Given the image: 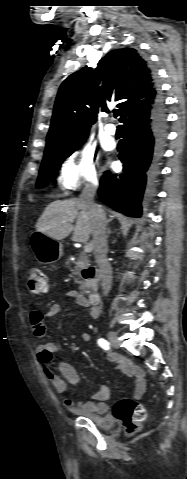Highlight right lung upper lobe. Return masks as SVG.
<instances>
[{
	"label": "right lung upper lobe",
	"mask_w": 187,
	"mask_h": 479,
	"mask_svg": "<svg viewBox=\"0 0 187 479\" xmlns=\"http://www.w3.org/2000/svg\"><path fill=\"white\" fill-rule=\"evenodd\" d=\"M154 71L133 48L109 52L95 70L85 67L61 84L47 135L46 150L75 144L88 135L99 111L117 103L121 121L158 97Z\"/></svg>",
	"instance_id": "1"
}]
</instances>
